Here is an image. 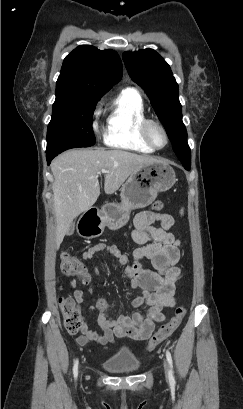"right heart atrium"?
<instances>
[{
	"mask_svg": "<svg viewBox=\"0 0 243 409\" xmlns=\"http://www.w3.org/2000/svg\"><path fill=\"white\" fill-rule=\"evenodd\" d=\"M100 115H101L100 109H96L94 112V117H93V126L95 130L99 129L98 122H99Z\"/></svg>",
	"mask_w": 243,
	"mask_h": 409,
	"instance_id": "d8ad5b80",
	"label": "right heart atrium"
}]
</instances>
